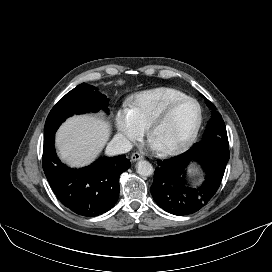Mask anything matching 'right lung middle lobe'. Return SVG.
Returning <instances> with one entry per match:
<instances>
[{
    "instance_id": "obj_1",
    "label": "right lung middle lobe",
    "mask_w": 272,
    "mask_h": 272,
    "mask_svg": "<svg viewBox=\"0 0 272 272\" xmlns=\"http://www.w3.org/2000/svg\"><path fill=\"white\" fill-rule=\"evenodd\" d=\"M108 98L99 94L97 88L82 83L61 98L50 111L44 126V139L56 132L66 118L74 114L108 111Z\"/></svg>"
}]
</instances>
